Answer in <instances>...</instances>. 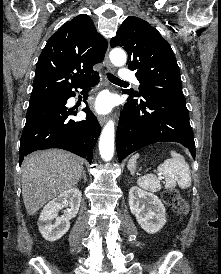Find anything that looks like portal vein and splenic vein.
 <instances>
[{
    "mask_svg": "<svg viewBox=\"0 0 221 274\" xmlns=\"http://www.w3.org/2000/svg\"><path fill=\"white\" fill-rule=\"evenodd\" d=\"M159 179H163V177H162V176H159Z\"/></svg>",
    "mask_w": 221,
    "mask_h": 274,
    "instance_id": "portal-vein-and-splenic-vein-1",
    "label": "portal vein and splenic vein"
}]
</instances>
